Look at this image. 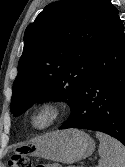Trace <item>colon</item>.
<instances>
[{"instance_id": "5ec220e1", "label": "colon", "mask_w": 125, "mask_h": 167, "mask_svg": "<svg viewBox=\"0 0 125 167\" xmlns=\"http://www.w3.org/2000/svg\"><path fill=\"white\" fill-rule=\"evenodd\" d=\"M9 167H32L31 161L20 154L12 155L8 160Z\"/></svg>"}]
</instances>
